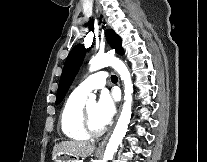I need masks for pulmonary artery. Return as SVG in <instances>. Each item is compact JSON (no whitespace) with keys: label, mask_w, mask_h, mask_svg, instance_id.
<instances>
[{"label":"pulmonary artery","mask_w":207,"mask_h":162,"mask_svg":"<svg viewBox=\"0 0 207 162\" xmlns=\"http://www.w3.org/2000/svg\"><path fill=\"white\" fill-rule=\"evenodd\" d=\"M107 77L108 73L106 71H98L81 82L75 90L87 95L93 90L103 88Z\"/></svg>","instance_id":"1"}]
</instances>
